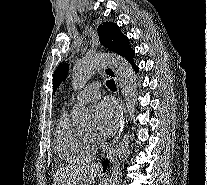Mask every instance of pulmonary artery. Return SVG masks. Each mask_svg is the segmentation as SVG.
<instances>
[{"label":"pulmonary artery","instance_id":"pulmonary-artery-1","mask_svg":"<svg viewBox=\"0 0 207 185\" xmlns=\"http://www.w3.org/2000/svg\"><path fill=\"white\" fill-rule=\"evenodd\" d=\"M92 86H83V93L77 96V102L87 103L95 100L99 97L100 91L98 89L93 90Z\"/></svg>","mask_w":207,"mask_h":185}]
</instances>
